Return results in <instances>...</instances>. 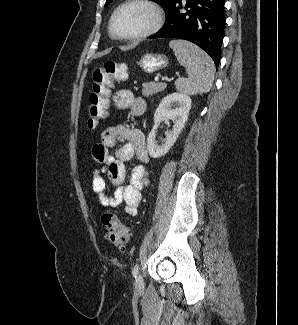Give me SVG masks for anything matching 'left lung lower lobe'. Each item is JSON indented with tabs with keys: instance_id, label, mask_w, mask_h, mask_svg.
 I'll return each instance as SVG.
<instances>
[{
	"instance_id": "0a47b994",
	"label": "left lung lower lobe",
	"mask_w": 298,
	"mask_h": 325,
	"mask_svg": "<svg viewBox=\"0 0 298 325\" xmlns=\"http://www.w3.org/2000/svg\"><path fill=\"white\" fill-rule=\"evenodd\" d=\"M173 0L166 8L164 26L149 38H178L205 50L218 67L225 27V0ZM179 4V5H178ZM187 10L182 13L180 9Z\"/></svg>"
}]
</instances>
